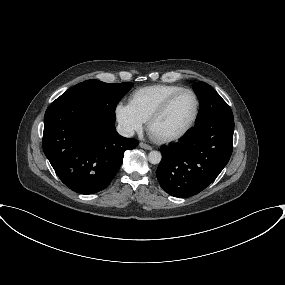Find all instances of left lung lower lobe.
Listing matches in <instances>:
<instances>
[{
  "label": "left lung lower lobe",
  "mask_w": 285,
  "mask_h": 285,
  "mask_svg": "<svg viewBox=\"0 0 285 285\" xmlns=\"http://www.w3.org/2000/svg\"><path fill=\"white\" fill-rule=\"evenodd\" d=\"M234 118L196 124L177 143L163 147L156 175L170 195L186 198L208 187L228 163L233 149Z\"/></svg>",
  "instance_id": "left-lung-lower-lobe-1"
}]
</instances>
